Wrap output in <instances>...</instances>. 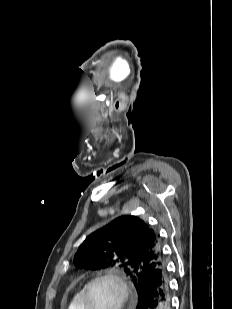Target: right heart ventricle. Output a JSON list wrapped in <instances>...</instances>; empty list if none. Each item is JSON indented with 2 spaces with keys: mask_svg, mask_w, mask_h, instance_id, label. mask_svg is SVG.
<instances>
[{
  "mask_svg": "<svg viewBox=\"0 0 232 309\" xmlns=\"http://www.w3.org/2000/svg\"><path fill=\"white\" fill-rule=\"evenodd\" d=\"M83 289H79L72 297L68 309H83L82 306Z\"/></svg>",
  "mask_w": 232,
  "mask_h": 309,
  "instance_id": "obj_1",
  "label": "right heart ventricle"
}]
</instances>
